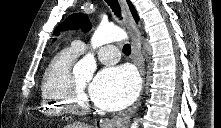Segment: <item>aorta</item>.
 Wrapping results in <instances>:
<instances>
[{"label": "aorta", "instance_id": "1", "mask_svg": "<svg viewBox=\"0 0 221 128\" xmlns=\"http://www.w3.org/2000/svg\"><path fill=\"white\" fill-rule=\"evenodd\" d=\"M127 38V33L117 26L100 25L91 38V45L93 49H95L102 45L111 42L122 41ZM95 70V57L92 53H88L80 61L77 62L73 69V72L75 75L83 76L89 80L92 78ZM131 128H138V120H135L132 123Z\"/></svg>", "mask_w": 221, "mask_h": 128}]
</instances>
